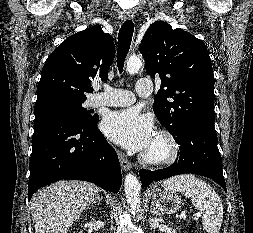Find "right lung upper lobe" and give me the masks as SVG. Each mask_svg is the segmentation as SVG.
<instances>
[{"instance_id": "obj_1", "label": "right lung upper lobe", "mask_w": 253, "mask_h": 233, "mask_svg": "<svg viewBox=\"0 0 253 233\" xmlns=\"http://www.w3.org/2000/svg\"><path fill=\"white\" fill-rule=\"evenodd\" d=\"M114 55L113 38L99 24L70 36L48 56L36 103L52 97L86 99L95 78L108 79Z\"/></svg>"}]
</instances>
